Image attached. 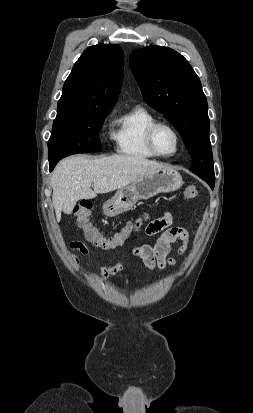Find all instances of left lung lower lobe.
Segmentation results:
<instances>
[{"instance_id":"left-lung-lower-lobe-1","label":"left lung lower lobe","mask_w":253,"mask_h":413,"mask_svg":"<svg viewBox=\"0 0 253 413\" xmlns=\"http://www.w3.org/2000/svg\"><path fill=\"white\" fill-rule=\"evenodd\" d=\"M200 178H202L204 181H206L212 189L214 188L215 177H204V176H202Z\"/></svg>"}]
</instances>
